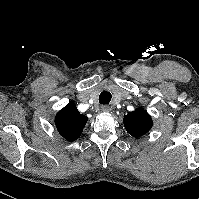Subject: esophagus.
<instances>
[{"instance_id":"obj_1","label":"esophagus","mask_w":199,"mask_h":199,"mask_svg":"<svg viewBox=\"0 0 199 199\" xmlns=\"http://www.w3.org/2000/svg\"><path fill=\"white\" fill-rule=\"evenodd\" d=\"M101 111H103V112H109L110 111V107L107 106V105H103V106H101Z\"/></svg>"}]
</instances>
